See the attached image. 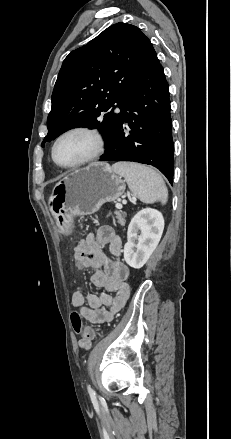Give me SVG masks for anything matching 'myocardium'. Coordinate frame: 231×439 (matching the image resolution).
<instances>
[{
    "mask_svg": "<svg viewBox=\"0 0 231 439\" xmlns=\"http://www.w3.org/2000/svg\"><path fill=\"white\" fill-rule=\"evenodd\" d=\"M77 132L86 133V134L92 136L95 140V143H96L95 150L93 151V153L91 155H89L88 157H86L85 159H83L81 161H78L76 163L69 164V165L61 164L56 157L57 145L60 142V140L62 138H64L65 136L72 134V133H77ZM105 149H106V139L100 130H98L97 128L91 127V126L79 125V126L71 127L58 135V137L55 139V141L53 143V146L51 149V156H52L54 163L57 166H59L61 168H65V169H72V168H77V167H80V166L85 165L87 163H90V162L94 161L95 159L99 158L104 153Z\"/></svg>",
    "mask_w": 231,
    "mask_h": 439,
    "instance_id": "myocardium-1",
    "label": "myocardium"
}]
</instances>
